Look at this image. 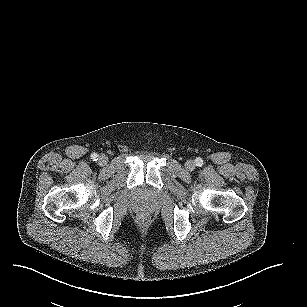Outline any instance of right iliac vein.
Here are the masks:
<instances>
[{
  "instance_id": "63e3f726",
  "label": "right iliac vein",
  "mask_w": 307,
  "mask_h": 307,
  "mask_svg": "<svg viewBox=\"0 0 307 307\" xmlns=\"http://www.w3.org/2000/svg\"><path fill=\"white\" fill-rule=\"evenodd\" d=\"M108 162V157L106 155H100L98 159V164L100 166H105Z\"/></svg>"
}]
</instances>
